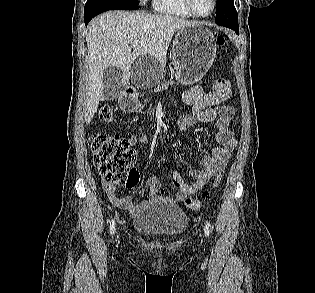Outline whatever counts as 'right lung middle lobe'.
<instances>
[{
  "instance_id": "1",
  "label": "right lung middle lobe",
  "mask_w": 315,
  "mask_h": 293,
  "mask_svg": "<svg viewBox=\"0 0 315 293\" xmlns=\"http://www.w3.org/2000/svg\"><path fill=\"white\" fill-rule=\"evenodd\" d=\"M118 2H121L123 4L132 5V6H138V0H116Z\"/></svg>"
}]
</instances>
